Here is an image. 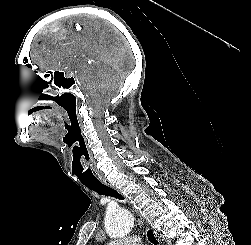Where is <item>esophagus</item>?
I'll list each match as a JSON object with an SVG mask.
<instances>
[{
    "mask_svg": "<svg viewBox=\"0 0 251 245\" xmlns=\"http://www.w3.org/2000/svg\"><path fill=\"white\" fill-rule=\"evenodd\" d=\"M102 182L105 184V185H107V186H109V187H111V188H114V186L111 184V182L110 181H108L107 179H102ZM136 211V214L138 215V220H139V222L140 223H143V222H145L144 221V219H143V217L139 214V212L137 211V210H135ZM155 236H156V238H157V240L159 241V245H161V239L159 238V236L155 233Z\"/></svg>",
    "mask_w": 251,
    "mask_h": 245,
    "instance_id": "34e87169",
    "label": "esophagus"
}]
</instances>
